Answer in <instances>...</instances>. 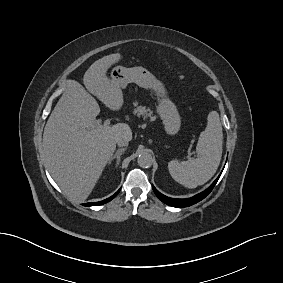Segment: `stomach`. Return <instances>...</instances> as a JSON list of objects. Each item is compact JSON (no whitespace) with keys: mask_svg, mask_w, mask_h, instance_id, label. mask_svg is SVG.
Returning <instances> with one entry per match:
<instances>
[{"mask_svg":"<svg viewBox=\"0 0 283 283\" xmlns=\"http://www.w3.org/2000/svg\"><path fill=\"white\" fill-rule=\"evenodd\" d=\"M111 80L117 82L121 88L134 82L138 86L150 90L157 96V113L162 120L165 132L168 135L178 133L181 126L179 112L175 104L168 98L164 84L146 68L116 66L111 71Z\"/></svg>","mask_w":283,"mask_h":283,"instance_id":"0dacf381","label":"stomach"}]
</instances>
